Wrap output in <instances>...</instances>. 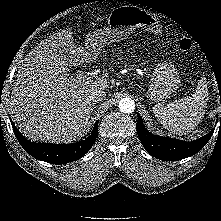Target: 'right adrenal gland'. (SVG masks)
<instances>
[{"mask_svg": "<svg viewBox=\"0 0 221 221\" xmlns=\"http://www.w3.org/2000/svg\"><path fill=\"white\" fill-rule=\"evenodd\" d=\"M94 108H95V103L92 104V110H94Z\"/></svg>", "mask_w": 221, "mask_h": 221, "instance_id": "2a0ac1e0", "label": "right adrenal gland"}]
</instances>
